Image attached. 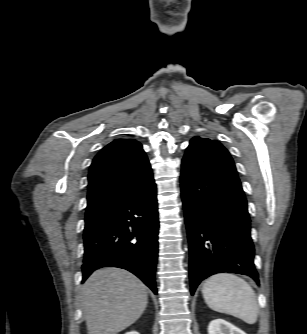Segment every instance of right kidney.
Here are the masks:
<instances>
[{
  "mask_svg": "<svg viewBox=\"0 0 307 334\" xmlns=\"http://www.w3.org/2000/svg\"><path fill=\"white\" fill-rule=\"evenodd\" d=\"M125 334H139V333L136 332V331H131V332H127V333H125Z\"/></svg>",
  "mask_w": 307,
  "mask_h": 334,
  "instance_id": "right-kidney-1",
  "label": "right kidney"
}]
</instances>
